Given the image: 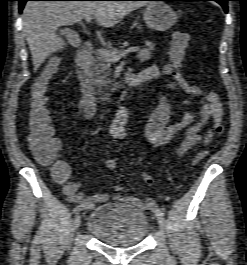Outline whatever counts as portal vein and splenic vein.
I'll use <instances>...</instances> for the list:
<instances>
[{"label": "portal vein and splenic vein", "mask_w": 247, "mask_h": 265, "mask_svg": "<svg viewBox=\"0 0 247 265\" xmlns=\"http://www.w3.org/2000/svg\"><path fill=\"white\" fill-rule=\"evenodd\" d=\"M91 16H86L85 17V20L87 22H90L91 21ZM140 50V47H131V48H128L126 50H124L123 52L119 53V54H116V53H110V52H105V55L110 59V61L112 62H117L119 61L121 58L125 57L128 53H132V52H137Z\"/></svg>", "instance_id": "1"}]
</instances>
